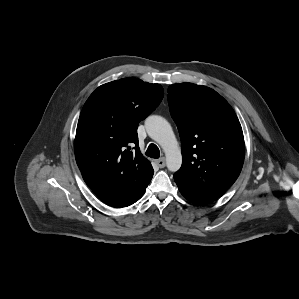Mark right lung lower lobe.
I'll return each instance as SVG.
<instances>
[{
    "label": "right lung lower lobe",
    "mask_w": 299,
    "mask_h": 299,
    "mask_svg": "<svg viewBox=\"0 0 299 299\" xmlns=\"http://www.w3.org/2000/svg\"><path fill=\"white\" fill-rule=\"evenodd\" d=\"M146 187H144L142 190H140L130 196L120 197V198H116V199H112V200H104V199H101V200L104 203H106L107 205H110L112 207H117V208L127 207V206L135 203L137 200H139L142 197V195L144 194V192L146 190Z\"/></svg>",
    "instance_id": "1"
}]
</instances>
